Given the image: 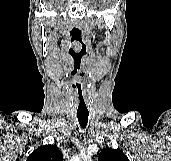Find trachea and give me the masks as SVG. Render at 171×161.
Instances as JSON below:
<instances>
[{
	"label": "trachea",
	"mask_w": 171,
	"mask_h": 161,
	"mask_svg": "<svg viewBox=\"0 0 171 161\" xmlns=\"http://www.w3.org/2000/svg\"><path fill=\"white\" fill-rule=\"evenodd\" d=\"M88 112H77V118L81 128H85L88 123Z\"/></svg>",
	"instance_id": "1"
}]
</instances>
